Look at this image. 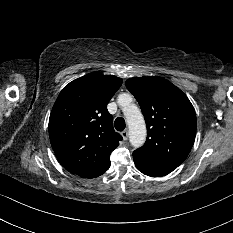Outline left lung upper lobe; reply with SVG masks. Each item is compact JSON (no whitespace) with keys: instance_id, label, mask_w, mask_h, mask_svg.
<instances>
[{"instance_id":"1","label":"left lung upper lobe","mask_w":233,"mask_h":233,"mask_svg":"<svg viewBox=\"0 0 233 233\" xmlns=\"http://www.w3.org/2000/svg\"><path fill=\"white\" fill-rule=\"evenodd\" d=\"M125 85L138 101L147 126V140L137 151L179 166L196 135V114L191 102L161 77L130 78Z\"/></svg>"}]
</instances>
